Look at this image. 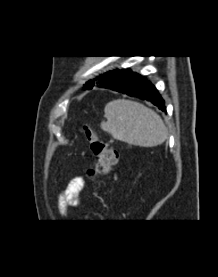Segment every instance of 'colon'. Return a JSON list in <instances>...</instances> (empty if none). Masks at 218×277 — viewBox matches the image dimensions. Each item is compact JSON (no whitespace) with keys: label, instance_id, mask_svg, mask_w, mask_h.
<instances>
[{"label":"colon","instance_id":"obj_1","mask_svg":"<svg viewBox=\"0 0 218 277\" xmlns=\"http://www.w3.org/2000/svg\"><path fill=\"white\" fill-rule=\"evenodd\" d=\"M91 152L95 157V166L88 170L91 178H103L107 176L118 161V153L110 144L103 140L95 129L84 127Z\"/></svg>","mask_w":218,"mask_h":277}]
</instances>
